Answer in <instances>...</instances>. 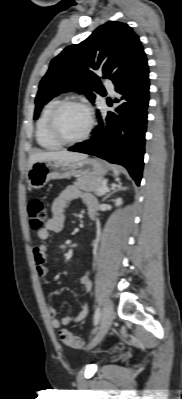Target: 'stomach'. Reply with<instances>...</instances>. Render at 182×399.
Wrapping results in <instances>:
<instances>
[{
  "mask_svg": "<svg viewBox=\"0 0 182 399\" xmlns=\"http://www.w3.org/2000/svg\"><path fill=\"white\" fill-rule=\"evenodd\" d=\"M106 165L99 159L85 158L76 162L46 160L35 162L28 170L27 181L31 188L40 189L52 179L71 177H103Z\"/></svg>",
  "mask_w": 182,
  "mask_h": 399,
  "instance_id": "0dacf381",
  "label": "stomach"
}]
</instances>
